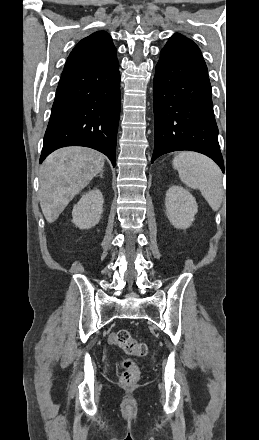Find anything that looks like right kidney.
Returning <instances> with one entry per match:
<instances>
[{
  "mask_svg": "<svg viewBox=\"0 0 259 440\" xmlns=\"http://www.w3.org/2000/svg\"><path fill=\"white\" fill-rule=\"evenodd\" d=\"M103 195L99 189L84 194L74 205L72 222L80 229H90L97 225L103 213Z\"/></svg>",
  "mask_w": 259,
  "mask_h": 440,
  "instance_id": "right-kidney-1",
  "label": "right kidney"
}]
</instances>
